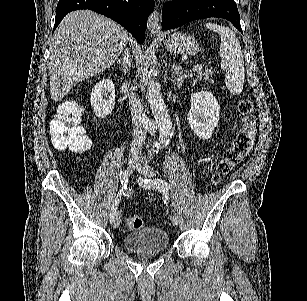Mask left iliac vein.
<instances>
[{"label": "left iliac vein", "mask_w": 307, "mask_h": 301, "mask_svg": "<svg viewBox=\"0 0 307 301\" xmlns=\"http://www.w3.org/2000/svg\"><path fill=\"white\" fill-rule=\"evenodd\" d=\"M136 168L139 171V173L145 177L152 178L155 176L153 169L145 163L137 164ZM150 188H155V187L151 186ZM170 218H171L172 224L174 226H178L179 214L177 213L175 209L172 210Z\"/></svg>", "instance_id": "obj_1"}]
</instances>
